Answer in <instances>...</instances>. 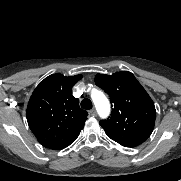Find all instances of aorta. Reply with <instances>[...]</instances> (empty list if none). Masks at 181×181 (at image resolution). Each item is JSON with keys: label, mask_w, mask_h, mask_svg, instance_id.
Listing matches in <instances>:
<instances>
[{"label": "aorta", "mask_w": 181, "mask_h": 181, "mask_svg": "<svg viewBox=\"0 0 181 181\" xmlns=\"http://www.w3.org/2000/svg\"><path fill=\"white\" fill-rule=\"evenodd\" d=\"M92 100L95 104L97 112L101 118H106L110 113V103L103 92L94 90L92 92Z\"/></svg>", "instance_id": "obj_1"}]
</instances>
